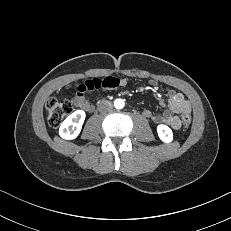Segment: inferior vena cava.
Returning <instances> with one entry per match:
<instances>
[{
	"label": "inferior vena cava",
	"mask_w": 231,
	"mask_h": 231,
	"mask_svg": "<svg viewBox=\"0 0 231 231\" xmlns=\"http://www.w3.org/2000/svg\"><path fill=\"white\" fill-rule=\"evenodd\" d=\"M112 108H113L112 103L107 100L101 101L98 105V110L102 113L109 112L112 110Z\"/></svg>",
	"instance_id": "obj_1"
}]
</instances>
